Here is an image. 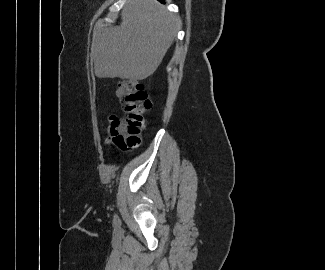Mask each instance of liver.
Returning a JSON list of instances; mask_svg holds the SVG:
<instances>
[{
	"instance_id": "liver-1",
	"label": "liver",
	"mask_w": 325,
	"mask_h": 270,
	"mask_svg": "<svg viewBox=\"0 0 325 270\" xmlns=\"http://www.w3.org/2000/svg\"><path fill=\"white\" fill-rule=\"evenodd\" d=\"M122 22L93 32L91 58L98 78L143 80L162 62L172 45L178 20L156 0H132Z\"/></svg>"
}]
</instances>
